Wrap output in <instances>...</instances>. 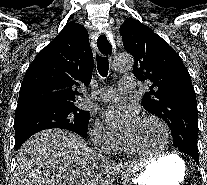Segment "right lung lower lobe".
<instances>
[{
    "label": "right lung lower lobe",
    "mask_w": 207,
    "mask_h": 185,
    "mask_svg": "<svg viewBox=\"0 0 207 185\" xmlns=\"http://www.w3.org/2000/svg\"><path fill=\"white\" fill-rule=\"evenodd\" d=\"M25 141H26V140H25ZM25 141H24V142H25ZM24 142H23V143H24ZM23 143H22V144H23ZM22 144H21V145H22ZM21 145H20V147H21ZM20 147H19V148H20ZM19 148H18V149H19Z\"/></svg>",
    "instance_id": "obj_1"
}]
</instances>
